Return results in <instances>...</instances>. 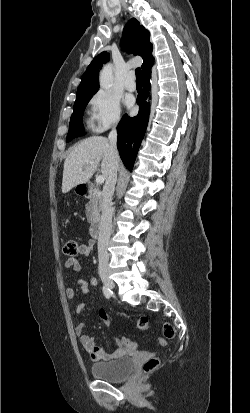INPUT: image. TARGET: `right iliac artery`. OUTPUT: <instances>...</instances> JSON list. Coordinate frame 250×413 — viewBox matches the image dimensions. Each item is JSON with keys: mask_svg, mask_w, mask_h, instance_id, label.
Returning a JSON list of instances; mask_svg holds the SVG:
<instances>
[{"mask_svg": "<svg viewBox=\"0 0 250 413\" xmlns=\"http://www.w3.org/2000/svg\"><path fill=\"white\" fill-rule=\"evenodd\" d=\"M103 293L106 298H110L112 292L107 286H103Z\"/></svg>", "mask_w": 250, "mask_h": 413, "instance_id": "obj_1", "label": "right iliac artery"}]
</instances>
